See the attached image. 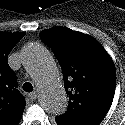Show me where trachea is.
Returning a JSON list of instances; mask_svg holds the SVG:
<instances>
[{"label": "trachea", "mask_w": 125, "mask_h": 125, "mask_svg": "<svg viewBox=\"0 0 125 125\" xmlns=\"http://www.w3.org/2000/svg\"><path fill=\"white\" fill-rule=\"evenodd\" d=\"M22 88L25 92H32L33 91V86L29 82L24 83Z\"/></svg>", "instance_id": "3493384b"}]
</instances>
